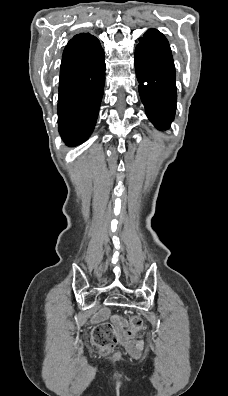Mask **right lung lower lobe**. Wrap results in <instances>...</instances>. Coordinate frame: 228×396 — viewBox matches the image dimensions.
<instances>
[{
  "label": "right lung lower lobe",
  "mask_w": 228,
  "mask_h": 396,
  "mask_svg": "<svg viewBox=\"0 0 228 396\" xmlns=\"http://www.w3.org/2000/svg\"><path fill=\"white\" fill-rule=\"evenodd\" d=\"M73 38L63 52L58 96V130L69 146L91 135L105 84V56L99 40L93 48H80Z\"/></svg>",
  "instance_id": "right-lung-lower-lobe-1"
}]
</instances>
